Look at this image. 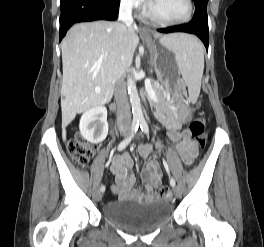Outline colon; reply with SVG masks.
Wrapping results in <instances>:
<instances>
[{
	"label": "colon",
	"instance_id": "1",
	"mask_svg": "<svg viewBox=\"0 0 264 247\" xmlns=\"http://www.w3.org/2000/svg\"><path fill=\"white\" fill-rule=\"evenodd\" d=\"M190 132L199 146L203 148L207 140L205 118L198 117L194 119L190 125ZM68 151L80 166L85 167L93 156L95 148L82 138L77 137L69 142ZM156 194L159 198H166L170 195V191L166 186H160L156 189Z\"/></svg>",
	"mask_w": 264,
	"mask_h": 247
}]
</instances>
